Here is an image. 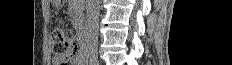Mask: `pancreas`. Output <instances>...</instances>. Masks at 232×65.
Listing matches in <instances>:
<instances>
[{
  "instance_id": "1",
  "label": "pancreas",
  "mask_w": 232,
  "mask_h": 65,
  "mask_svg": "<svg viewBox=\"0 0 232 65\" xmlns=\"http://www.w3.org/2000/svg\"><path fill=\"white\" fill-rule=\"evenodd\" d=\"M72 2H75V1L73 0ZM71 11H72V12H76V10H74L73 7H71ZM78 15H79V14H78ZM75 27H76L77 29H80V26H79V24H77V23H75Z\"/></svg>"
}]
</instances>
